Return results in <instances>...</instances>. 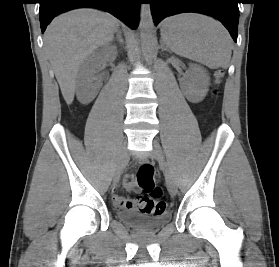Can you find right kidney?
<instances>
[{
    "mask_svg": "<svg viewBox=\"0 0 279 267\" xmlns=\"http://www.w3.org/2000/svg\"><path fill=\"white\" fill-rule=\"evenodd\" d=\"M108 51L102 50L100 53L93 54L87 65L83 68L77 81V98L82 104H88L96 96L102 83L95 73L100 67L103 59L108 57Z\"/></svg>",
    "mask_w": 279,
    "mask_h": 267,
    "instance_id": "obj_1",
    "label": "right kidney"
}]
</instances>
